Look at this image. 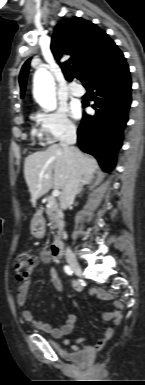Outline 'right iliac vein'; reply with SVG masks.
Masks as SVG:
<instances>
[{"label":"right iliac vein","mask_w":145,"mask_h":385,"mask_svg":"<svg viewBox=\"0 0 145 385\" xmlns=\"http://www.w3.org/2000/svg\"><path fill=\"white\" fill-rule=\"evenodd\" d=\"M68 263L75 274L82 275V268L75 258H68Z\"/></svg>","instance_id":"obj_1"}]
</instances>
